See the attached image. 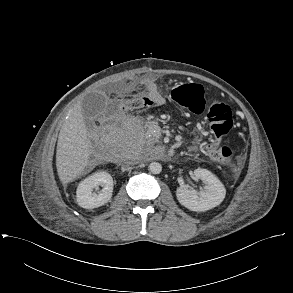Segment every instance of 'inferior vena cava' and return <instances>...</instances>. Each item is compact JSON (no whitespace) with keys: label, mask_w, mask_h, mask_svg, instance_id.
<instances>
[{"label":"inferior vena cava","mask_w":293,"mask_h":293,"mask_svg":"<svg viewBox=\"0 0 293 293\" xmlns=\"http://www.w3.org/2000/svg\"><path fill=\"white\" fill-rule=\"evenodd\" d=\"M134 163H135V160H131V161H129L127 165L122 166V170H123V171L131 170L132 167H131L130 165H131V164H134Z\"/></svg>","instance_id":"obj_1"}]
</instances>
